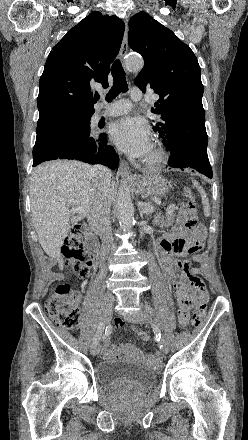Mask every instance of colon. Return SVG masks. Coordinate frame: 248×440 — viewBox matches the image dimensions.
I'll return each instance as SVG.
<instances>
[{
    "mask_svg": "<svg viewBox=\"0 0 248 440\" xmlns=\"http://www.w3.org/2000/svg\"><path fill=\"white\" fill-rule=\"evenodd\" d=\"M187 199L186 209L190 222L196 223L197 210L194 193L190 188L185 190ZM62 253L66 259L67 266L74 274L82 279L84 278L93 263L85 259V250L82 238V229L74 224L69 230L65 239ZM191 285L196 292V301L194 303V312L189 324L197 326L201 323L205 315L207 292L203 280L198 276L191 278ZM79 295L72 291L68 284L58 285L49 295L45 302V311L49 318L58 326L73 329L77 327L80 319L79 313ZM188 325V324H187ZM138 337L141 341H148L149 334L146 331H139Z\"/></svg>",
    "mask_w": 248,
    "mask_h": 440,
    "instance_id": "colon-1",
    "label": "colon"
}]
</instances>
